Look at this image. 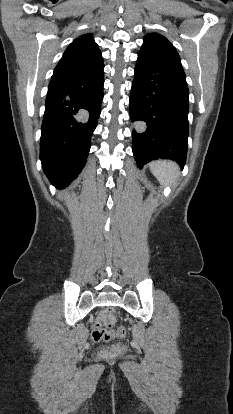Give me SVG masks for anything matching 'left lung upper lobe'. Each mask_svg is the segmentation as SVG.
<instances>
[{"instance_id":"left-lung-upper-lobe-1","label":"left lung upper lobe","mask_w":233,"mask_h":414,"mask_svg":"<svg viewBox=\"0 0 233 414\" xmlns=\"http://www.w3.org/2000/svg\"><path fill=\"white\" fill-rule=\"evenodd\" d=\"M139 53L151 55L165 62L181 66L180 57L175 47L164 36L148 33Z\"/></svg>"}]
</instances>
